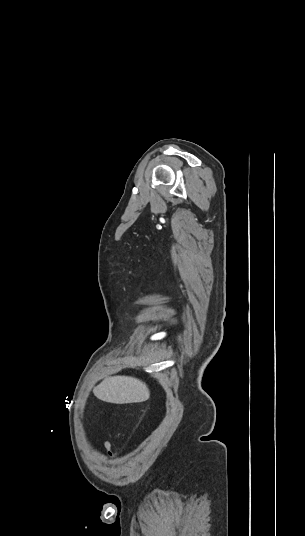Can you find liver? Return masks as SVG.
<instances>
[{
	"label": "liver",
	"mask_w": 305,
	"mask_h": 536,
	"mask_svg": "<svg viewBox=\"0 0 305 536\" xmlns=\"http://www.w3.org/2000/svg\"><path fill=\"white\" fill-rule=\"evenodd\" d=\"M96 398L110 404H138L150 398V392L141 380L129 376L105 378L93 390Z\"/></svg>",
	"instance_id": "obj_1"
}]
</instances>
